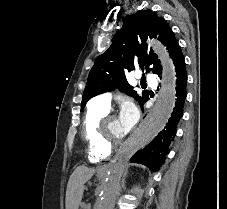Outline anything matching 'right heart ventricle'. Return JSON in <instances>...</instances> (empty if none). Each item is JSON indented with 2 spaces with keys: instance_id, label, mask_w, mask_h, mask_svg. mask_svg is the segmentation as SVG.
<instances>
[{
  "instance_id": "right-heart-ventricle-1",
  "label": "right heart ventricle",
  "mask_w": 227,
  "mask_h": 209,
  "mask_svg": "<svg viewBox=\"0 0 227 209\" xmlns=\"http://www.w3.org/2000/svg\"><path fill=\"white\" fill-rule=\"evenodd\" d=\"M108 109L92 107L85 114L81 124V136L87 145L88 159L93 164H103L111 157L112 150L101 144L97 137L98 122Z\"/></svg>"
}]
</instances>
